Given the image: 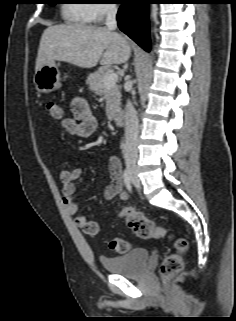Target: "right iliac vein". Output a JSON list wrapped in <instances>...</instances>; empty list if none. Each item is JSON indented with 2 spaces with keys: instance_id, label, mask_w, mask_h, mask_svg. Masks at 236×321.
<instances>
[{
  "instance_id": "obj_1",
  "label": "right iliac vein",
  "mask_w": 236,
  "mask_h": 321,
  "mask_svg": "<svg viewBox=\"0 0 236 321\" xmlns=\"http://www.w3.org/2000/svg\"><path fill=\"white\" fill-rule=\"evenodd\" d=\"M126 165H127V168L132 176V181L134 183V185L138 188L140 186V181L137 177V167H136V164L134 163V161L132 159H128L126 161Z\"/></svg>"
}]
</instances>
